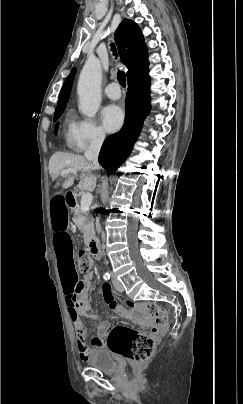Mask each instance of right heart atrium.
I'll return each instance as SVG.
<instances>
[{
  "label": "right heart atrium",
  "instance_id": "1",
  "mask_svg": "<svg viewBox=\"0 0 243 404\" xmlns=\"http://www.w3.org/2000/svg\"><path fill=\"white\" fill-rule=\"evenodd\" d=\"M105 134L94 120L75 116L72 118L66 137L68 148L76 153L102 146Z\"/></svg>",
  "mask_w": 243,
  "mask_h": 404
}]
</instances>
